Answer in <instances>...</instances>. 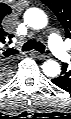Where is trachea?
Instances as JSON below:
<instances>
[{
  "label": "trachea",
  "mask_w": 71,
  "mask_h": 119,
  "mask_svg": "<svg viewBox=\"0 0 71 119\" xmlns=\"http://www.w3.org/2000/svg\"><path fill=\"white\" fill-rule=\"evenodd\" d=\"M24 50H32L35 49L39 51L40 53L44 52V45L40 42H35V41H29L24 45Z\"/></svg>",
  "instance_id": "3493384b"
}]
</instances>
